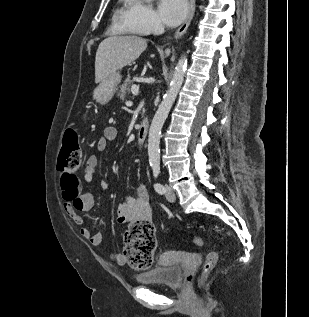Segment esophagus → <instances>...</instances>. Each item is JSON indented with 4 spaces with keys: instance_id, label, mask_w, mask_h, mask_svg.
I'll use <instances>...</instances> for the list:
<instances>
[{
    "instance_id": "1",
    "label": "esophagus",
    "mask_w": 309,
    "mask_h": 317,
    "mask_svg": "<svg viewBox=\"0 0 309 317\" xmlns=\"http://www.w3.org/2000/svg\"><path fill=\"white\" fill-rule=\"evenodd\" d=\"M195 13V0H190V6H189V11L186 19L182 23V25L177 29L175 32L174 38L178 39L180 38L187 30L188 26L190 25V22L194 16Z\"/></svg>"
}]
</instances>
